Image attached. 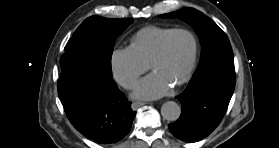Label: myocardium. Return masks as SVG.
<instances>
[{
  "label": "myocardium",
  "mask_w": 279,
  "mask_h": 148,
  "mask_svg": "<svg viewBox=\"0 0 279 148\" xmlns=\"http://www.w3.org/2000/svg\"><path fill=\"white\" fill-rule=\"evenodd\" d=\"M178 33H186L188 34L192 40H193V55H192V59H191V63L187 69V71L185 72V74L178 79L175 82V85H182L183 83H185L193 74L194 69L196 67V63H197V58H198V49H199V44H198V40L197 37L195 36V34L188 30V29H184V28H180V29H174L171 32H169L161 41L157 51L155 52L154 56L152 57L150 63H149V68L151 69L153 64H155L156 62H158L160 59H162L165 55V50H166V45L167 42L169 41V39L171 37H173L174 35L178 34Z\"/></svg>",
  "instance_id": "1"
}]
</instances>
